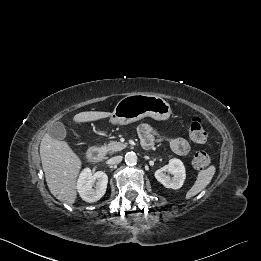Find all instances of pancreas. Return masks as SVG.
Segmentation results:
<instances>
[{
  "label": "pancreas",
  "instance_id": "1",
  "mask_svg": "<svg viewBox=\"0 0 261 261\" xmlns=\"http://www.w3.org/2000/svg\"><path fill=\"white\" fill-rule=\"evenodd\" d=\"M126 147V144L121 142L112 141L109 144L103 146V150L107 153H115L123 150Z\"/></svg>",
  "mask_w": 261,
  "mask_h": 261
}]
</instances>
